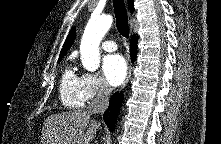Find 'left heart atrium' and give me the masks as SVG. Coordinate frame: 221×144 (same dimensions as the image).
<instances>
[{"label": "left heart atrium", "mask_w": 221, "mask_h": 144, "mask_svg": "<svg viewBox=\"0 0 221 144\" xmlns=\"http://www.w3.org/2000/svg\"><path fill=\"white\" fill-rule=\"evenodd\" d=\"M103 75L111 86H119L126 78L127 65L121 55H109L103 60Z\"/></svg>", "instance_id": "obj_1"}]
</instances>
